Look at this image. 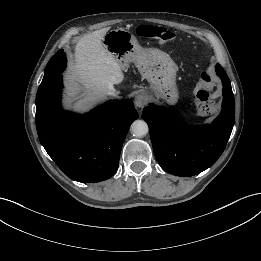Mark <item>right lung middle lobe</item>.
<instances>
[{
	"label": "right lung middle lobe",
	"mask_w": 261,
	"mask_h": 261,
	"mask_svg": "<svg viewBox=\"0 0 261 261\" xmlns=\"http://www.w3.org/2000/svg\"><path fill=\"white\" fill-rule=\"evenodd\" d=\"M66 67V57L63 50H59L48 62L43 80L37 93L42 92L54 80L55 76L61 73Z\"/></svg>",
	"instance_id": "1"
}]
</instances>
